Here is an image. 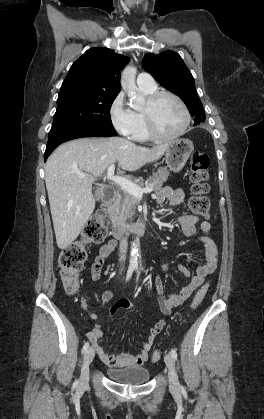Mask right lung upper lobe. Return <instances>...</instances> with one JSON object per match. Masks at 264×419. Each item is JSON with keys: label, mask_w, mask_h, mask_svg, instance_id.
Listing matches in <instances>:
<instances>
[{"label": "right lung upper lobe", "mask_w": 264, "mask_h": 419, "mask_svg": "<svg viewBox=\"0 0 264 419\" xmlns=\"http://www.w3.org/2000/svg\"><path fill=\"white\" fill-rule=\"evenodd\" d=\"M128 62V57L111 49L91 48L72 64L62 87L81 85L94 91L118 94L120 71Z\"/></svg>", "instance_id": "cb5924a9"}]
</instances>
